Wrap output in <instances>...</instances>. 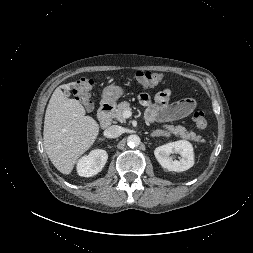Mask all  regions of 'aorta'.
Returning <instances> with one entry per match:
<instances>
[{
    "label": "aorta",
    "mask_w": 253,
    "mask_h": 253,
    "mask_svg": "<svg viewBox=\"0 0 253 253\" xmlns=\"http://www.w3.org/2000/svg\"><path fill=\"white\" fill-rule=\"evenodd\" d=\"M127 143L129 147L134 148L140 145L141 140L138 135H130L127 138Z\"/></svg>",
    "instance_id": "1"
}]
</instances>
